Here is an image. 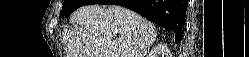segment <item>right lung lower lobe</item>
I'll return each instance as SVG.
<instances>
[{
  "mask_svg": "<svg viewBox=\"0 0 249 57\" xmlns=\"http://www.w3.org/2000/svg\"><path fill=\"white\" fill-rule=\"evenodd\" d=\"M91 4H116L136 11L150 21L175 31V41L184 33L187 0H93Z\"/></svg>",
  "mask_w": 249,
  "mask_h": 57,
  "instance_id": "right-lung-lower-lobe-1",
  "label": "right lung lower lobe"
}]
</instances>
